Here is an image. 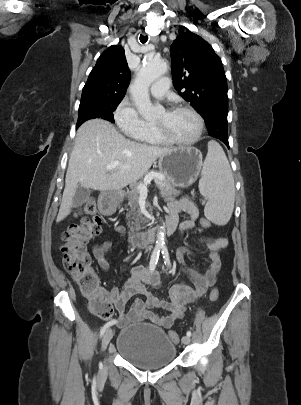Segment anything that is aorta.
<instances>
[{"label":"aorta","mask_w":301,"mask_h":405,"mask_svg":"<svg viewBox=\"0 0 301 405\" xmlns=\"http://www.w3.org/2000/svg\"><path fill=\"white\" fill-rule=\"evenodd\" d=\"M167 64L162 60L147 59L143 62L142 68L137 74L130 87L134 104L140 114L147 116L154 112V107L150 101L149 87L151 83L167 71ZM165 238L163 227L157 233V248H164Z\"/></svg>","instance_id":"aorta-1"}]
</instances>
